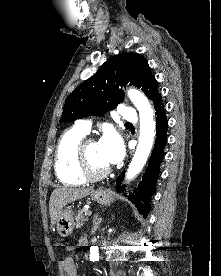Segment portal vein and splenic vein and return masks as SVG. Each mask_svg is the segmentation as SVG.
Wrapping results in <instances>:
<instances>
[{"label": "portal vein and splenic vein", "instance_id": "portal-vein-and-splenic-vein-1", "mask_svg": "<svg viewBox=\"0 0 221 276\" xmlns=\"http://www.w3.org/2000/svg\"><path fill=\"white\" fill-rule=\"evenodd\" d=\"M88 215H89V216L92 215V211H88Z\"/></svg>", "mask_w": 221, "mask_h": 276}]
</instances>
